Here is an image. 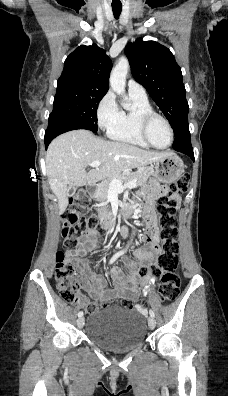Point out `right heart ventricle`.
<instances>
[{"label": "right heart ventricle", "instance_id": "e07e8e85", "mask_svg": "<svg viewBox=\"0 0 228 396\" xmlns=\"http://www.w3.org/2000/svg\"><path fill=\"white\" fill-rule=\"evenodd\" d=\"M132 108L121 110L119 121L108 130V136L116 141H121L141 148H149L139 132L138 115L143 112L153 111L147 97H138L130 94Z\"/></svg>", "mask_w": 228, "mask_h": 396}]
</instances>
